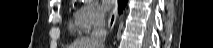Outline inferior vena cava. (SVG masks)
<instances>
[{
    "label": "inferior vena cava",
    "mask_w": 213,
    "mask_h": 48,
    "mask_svg": "<svg viewBox=\"0 0 213 48\" xmlns=\"http://www.w3.org/2000/svg\"><path fill=\"white\" fill-rule=\"evenodd\" d=\"M105 17L103 13L96 12L93 30L90 36L96 48H103L106 39Z\"/></svg>",
    "instance_id": "inferior-vena-cava-1"
}]
</instances>
